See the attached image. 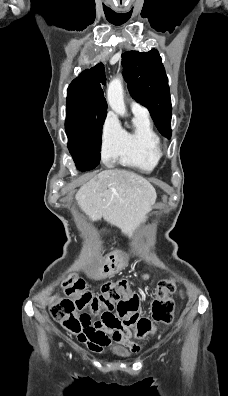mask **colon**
Instances as JSON below:
<instances>
[{
    "label": "colon",
    "instance_id": "obj_1",
    "mask_svg": "<svg viewBox=\"0 0 228 396\" xmlns=\"http://www.w3.org/2000/svg\"><path fill=\"white\" fill-rule=\"evenodd\" d=\"M68 296L73 299H58L51 307L52 317L74 333L91 324V316H99L93 322L94 327L111 329L134 328L138 337L154 333L155 326L149 318L137 314L139 296L132 291L128 281L118 280L105 283L100 294L86 290L85 282L75 274H68L63 280ZM175 290L171 279H163L158 283L156 298L152 303L153 321L169 324L173 319L175 303L169 295ZM116 305V312L114 307ZM89 312L77 315V311Z\"/></svg>",
    "mask_w": 228,
    "mask_h": 396
}]
</instances>
